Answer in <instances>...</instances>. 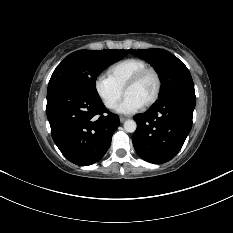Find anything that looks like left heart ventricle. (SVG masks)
I'll list each match as a JSON object with an SVG mask.
<instances>
[{
	"label": "left heart ventricle",
	"instance_id": "1",
	"mask_svg": "<svg viewBox=\"0 0 233 233\" xmlns=\"http://www.w3.org/2000/svg\"><path fill=\"white\" fill-rule=\"evenodd\" d=\"M156 89V80L152 74L144 77L137 85L128 89L126 96H131L144 105L154 94Z\"/></svg>",
	"mask_w": 233,
	"mask_h": 233
}]
</instances>
